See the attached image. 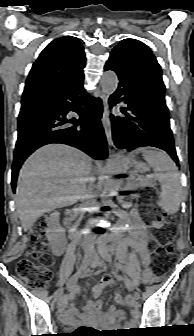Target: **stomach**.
<instances>
[{
    "mask_svg": "<svg viewBox=\"0 0 194 336\" xmlns=\"http://www.w3.org/2000/svg\"><path fill=\"white\" fill-rule=\"evenodd\" d=\"M133 165H134L135 170H136L137 172H145L146 169H147L146 165H145L144 163H142V162L134 161V162H133Z\"/></svg>",
    "mask_w": 194,
    "mask_h": 336,
    "instance_id": "obj_1",
    "label": "stomach"
}]
</instances>
